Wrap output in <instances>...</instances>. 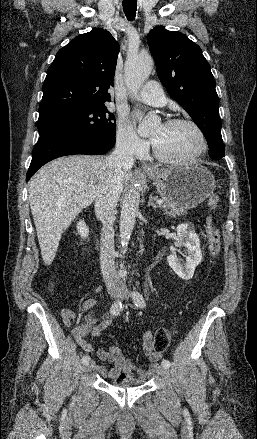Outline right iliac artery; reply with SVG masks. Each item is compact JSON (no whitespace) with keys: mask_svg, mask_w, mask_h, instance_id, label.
Wrapping results in <instances>:
<instances>
[{"mask_svg":"<svg viewBox=\"0 0 257 439\" xmlns=\"http://www.w3.org/2000/svg\"><path fill=\"white\" fill-rule=\"evenodd\" d=\"M122 310V303L120 300H117L116 302H114L110 308V313L112 315H118ZM90 361V357L88 355H84L82 357V363L86 364Z\"/></svg>","mask_w":257,"mask_h":439,"instance_id":"82829eb1","label":"right iliac artery"}]
</instances>
